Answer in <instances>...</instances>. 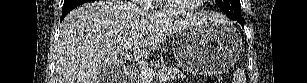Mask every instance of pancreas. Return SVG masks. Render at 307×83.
<instances>
[{
  "mask_svg": "<svg viewBox=\"0 0 307 83\" xmlns=\"http://www.w3.org/2000/svg\"><path fill=\"white\" fill-rule=\"evenodd\" d=\"M161 72L164 75L169 76L170 79L172 80L186 78V75L184 74V72H182L181 70L175 67L166 68L165 70L162 69ZM135 80H136V83H145V79L143 78L141 72L136 76Z\"/></svg>",
  "mask_w": 307,
  "mask_h": 83,
  "instance_id": "1",
  "label": "pancreas"
}]
</instances>
